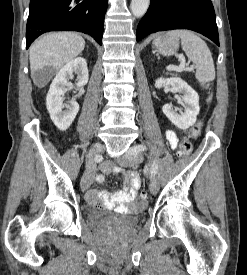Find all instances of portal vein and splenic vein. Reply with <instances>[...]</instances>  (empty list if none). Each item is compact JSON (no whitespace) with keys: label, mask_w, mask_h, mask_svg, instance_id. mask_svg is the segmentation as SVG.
Here are the masks:
<instances>
[{"label":"portal vein and splenic vein","mask_w":247,"mask_h":275,"mask_svg":"<svg viewBox=\"0 0 247 275\" xmlns=\"http://www.w3.org/2000/svg\"><path fill=\"white\" fill-rule=\"evenodd\" d=\"M179 58H180V62H181L180 66L179 67L170 66V67L167 68L168 71H178V72H180V71H183L185 69H187L189 71L193 70V67L185 68V59H184V57L180 56Z\"/></svg>","instance_id":"portal-vein-and-splenic-vein-1"}]
</instances>
